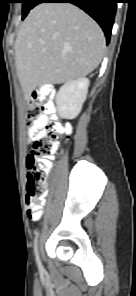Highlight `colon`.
Returning a JSON list of instances; mask_svg holds the SVG:
<instances>
[{"label": "colon", "instance_id": "5ec220e1", "mask_svg": "<svg viewBox=\"0 0 136 296\" xmlns=\"http://www.w3.org/2000/svg\"><path fill=\"white\" fill-rule=\"evenodd\" d=\"M53 114L51 101L39 103L33 101L26 111L27 128L33 126L44 117ZM42 135L31 137V151L26 157L27 190L25 196L27 215L31 219L40 217L41 206L46 195L47 176L51 168L50 156L57 150L62 137L69 134V128L55 120L43 122Z\"/></svg>", "mask_w": 136, "mask_h": 296}]
</instances>
